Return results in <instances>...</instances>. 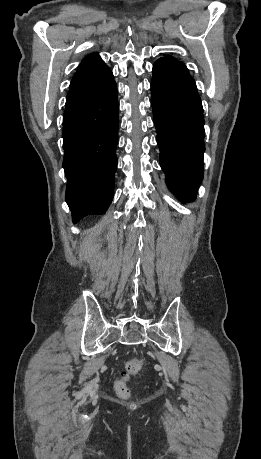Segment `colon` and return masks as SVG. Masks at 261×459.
I'll list each match as a JSON object with an SVG mask.
<instances>
[{"mask_svg": "<svg viewBox=\"0 0 261 459\" xmlns=\"http://www.w3.org/2000/svg\"><path fill=\"white\" fill-rule=\"evenodd\" d=\"M142 360L139 358L132 359L127 362L118 379L115 382V391L118 396L122 398H127L129 396L128 383L131 380L132 376L139 370L141 367Z\"/></svg>", "mask_w": 261, "mask_h": 459, "instance_id": "1", "label": "colon"}]
</instances>
